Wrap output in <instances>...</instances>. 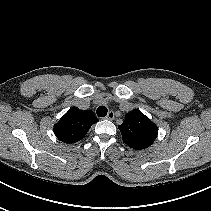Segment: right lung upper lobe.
<instances>
[{
    "instance_id": "1",
    "label": "right lung upper lobe",
    "mask_w": 211,
    "mask_h": 211,
    "mask_svg": "<svg viewBox=\"0 0 211 211\" xmlns=\"http://www.w3.org/2000/svg\"><path fill=\"white\" fill-rule=\"evenodd\" d=\"M98 122V118L91 110H79L72 107L54 125V133L64 143H76L81 140L91 125Z\"/></svg>"
}]
</instances>
